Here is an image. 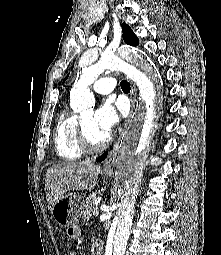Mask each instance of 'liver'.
<instances>
[{
	"mask_svg": "<svg viewBox=\"0 0 221 255\" xmlns=\"http://www.w3.org/2000/svg\"><path fill=\"white\" fill-rule=\"evenodd\" d=\"M101 171L99 165L91 162H67L48 168L45 193L49 211L67 191L92 190Z\"/></svg>",
	"mask_w": 221,
	"mask_h": 255,
	"instance_id": "6515ba94",
	"label": "liver"
}]
</instances>
